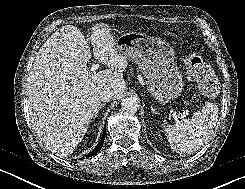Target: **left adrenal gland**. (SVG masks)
I'll use <instances>...</instances> for the list:
<instances>
[{"label":"left adrenal gland","mask_w":245,"mask_h":189,"mask_svg":"<svg viewBox=\"0 0 245 189\" xmlns=\"http://www.w3.org/2000/svg\"><path fill=\"white\" fill-rule=\"evenodd\" d=\"M150 109H151V111H152L154 114H159V113L156 111V109H154L151 105H150Z\"/></svg>","instance_id":"left-adrenal-gland-1"}]
</instances>
